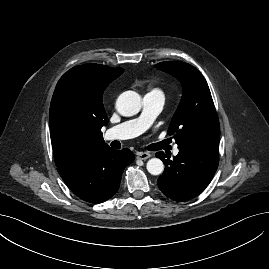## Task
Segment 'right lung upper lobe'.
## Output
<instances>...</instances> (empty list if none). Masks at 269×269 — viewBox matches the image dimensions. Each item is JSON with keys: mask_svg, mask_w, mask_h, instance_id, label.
<instances>
[{"mask_svg": "<svg viewBox=\"0 0 269 269\" xmlns=\"http://www.w3.org/2000/svg\"><path fill=\"white\" fill-rule=\"evenodd\" d=\"M124 72L100 64H84L67 71L52 96L49 124L57 166L94 150L109 147L101 128L108 123L102 103L106 87ZM77 134L73 141L66 131Z\"/></svg>", "mask_w": 269, "mask_h": 269, "instance_id": "cb5924a9", "label": "right lung upper lobe"}]
</instances>
